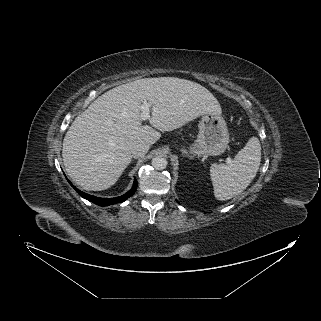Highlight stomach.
Listing matches in <instances>:
<instances>
[{
	"label": "stomach",
	"mask_w": 321,
	"mask_h": 321,
	"mask_svg": "<svg viewBox=\"0 0 321 321\" xmlns=\"http://www.w3.org/2000/svg\"><path fill=\"white\" fill-rule=\"evenodd\" d=\"M228 143L229 133L224 118L219 113L210 112L202 115L197 140L190 149L199 156H216L226 150Z\"/></svg>",
	"instance_id": "0dacf381"
}]
</instances>
